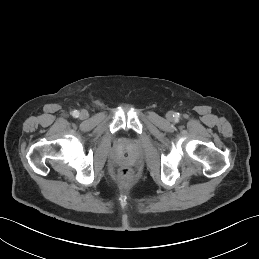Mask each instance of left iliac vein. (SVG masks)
<instances>
[{
  "instance_id": "obj_1",
  "label": "left iliac vein",
  "mask_w": 259,
  "mask_h": 259,
  "mask_svg": "<svg viewBox=\"0 0 259 259\" xmlns=\"http://www.w3.org/2000/svg\"><path fill=\"white\" fill-rule=\"evenodd\" d=\"M167 118H168L169 120H171V119H172V113L169 112V113L167 114Z\"/></svg>"
}]
</instances>
